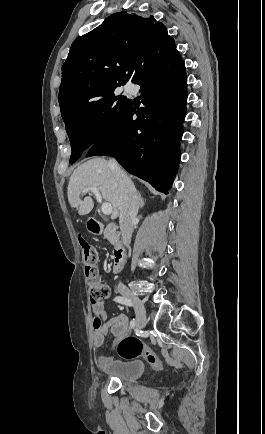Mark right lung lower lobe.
I'll return each mask as SVG.
<instances>
[{"instance_id":"obj_1","label":"right lung lower lobe","mask_w":265,"mask_h":434,"mask_svg":"<svg viewBox=\"0 0 265 434\" xmlns=\"http://www.w3.org/2000/svg\"><path fill=\"white\" fill-rule=\"evenodd\" d=\"M185 70L176 48L149 64L133 82L141 86L144 107L132 101L119 124L86 156L115 157L129 173L168 194L180 160L187 102Z\"/></svg>"}]
</instances>
